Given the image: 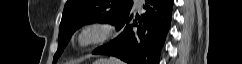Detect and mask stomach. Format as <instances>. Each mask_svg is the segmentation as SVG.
Listing matches in <instances>:
<instances>
[{"mask_svg":"<svg viewBox=\"0 0 242 64\" xmlns=\"http://www.w3.org/2000/svg\"><path fill=\"white\" fill-rule=\"evenodd\" d=\"M94 64H110L109 61L105 59H100L94 62Z\"/></svg>","mask_w":242,"mask_h":64,"instance_id":"stomach-1","label":"stomach"}]
</instances>
